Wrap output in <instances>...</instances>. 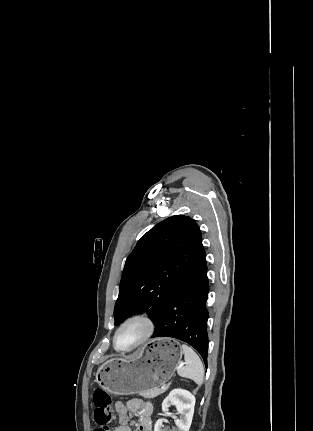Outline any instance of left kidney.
Listing matches in <instances>:
<instances>
[{
    "mask_svg": "<svg viewBox=\"0 0 313 431\" xmlns=\"http://www.w3.org/2000/svg\"><path fill=\"white\" fill-rule=\"evenodd\" d=\"M170 405H175L180 418L175 419L178 431H189L194 414L195 397L187 390L174 389L162 403V411L166 412ZM164 419H159L154 427V431H165L163 429Z\"/></svg>",
    "mask_w": 313,
    "mask_h": 431,
    "instance_id": "left-kidney-1",
    "label": "left kidney"
}]
</instances>
